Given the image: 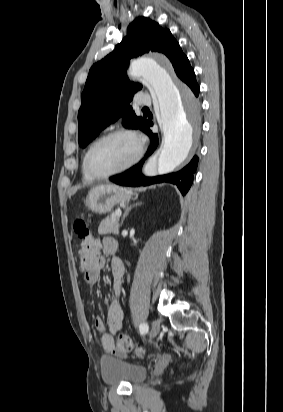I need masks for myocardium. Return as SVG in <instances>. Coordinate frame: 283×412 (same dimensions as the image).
I'll return each instance as SVG.
<instances>
[{"mask_svg":"<svg viewBox=\"0 0 283 412\" xmlns=\"http://www.w3.org/2000/svg\"><path fill=\"white\" fill-rule=\"evenodd\" d=\"M117 135H127V136L132 137L136 141V143H137V153H136V155L134 156V158L129 163H127L126 165H124V166H122V167H120V168H118L114 171H111V172H108V173H105V174H97L96 172H94L92 170V168L90 166V156H91L93 150L99 144H101L102 142L106 141L107 139H109L111 137L117 136ZM143 154H144V144H143V141L140 138V136L132 129L117 128V129L111 130V131L103 134L102 136L97 138L89 146V148L87 149V151L85 153V156H84V166H85V169H86L87 173L93 179H98V180L107 179V178H110L114 175L120 174V173L132 168L134 165H136L141 160Z\"/></svg>","mask_w":283,"mask_h":412,"instance_id":"myocardium-1","label":"myocardium"}]
</instances>
